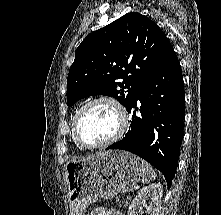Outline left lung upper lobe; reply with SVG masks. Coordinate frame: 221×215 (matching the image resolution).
<instances>
[{"mask_svg":"<svg viewBox=\"0 0 221 215\" xmlns=\"http://www.w3.org/2000/svg\"><path fill=\"white\" fill-rule=\"evenodd\" d=\"M171 46L158 25L137 12L94 31L75 51L67 78V105L88 96L107 95L128 110L140 85Z\"/></svg>","mask_w":221,"mask_h":215,"instance_id":"left-lung-upper-lobe-1","label":"left lung upper lobe"}]
</instances>
